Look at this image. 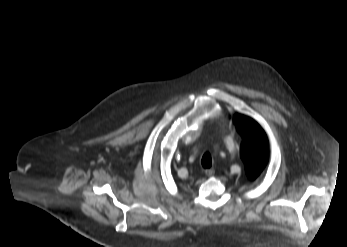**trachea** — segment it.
Returning a JSON list of instances; mask_svg holds the SVG:
<instances>
[{
    "mask_svg": "<svg viewBox=\"0 0 347 247\" xmlns=\"http://www.w3.org/2000/svg\"><path fill=\"white\" fill-rule=\"evenodd\" d=\"M202 166L204 167V168H210L211 167V165H212V159H211V157H210V155L209 154H204V156L202 157Z\"/></svg>",
    "mask_w": 347,
    "mask_h": 247,
    "instance_id": "3493384b",
    "label": "trachea"
}]
</instances>
